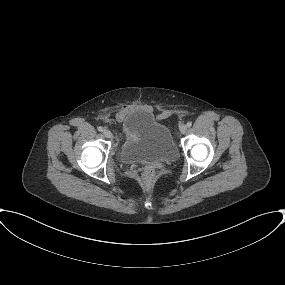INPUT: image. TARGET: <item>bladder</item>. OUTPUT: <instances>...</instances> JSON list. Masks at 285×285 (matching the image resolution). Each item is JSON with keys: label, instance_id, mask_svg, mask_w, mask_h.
<instances>
[{"label": "bladder", "instance_id": "bladder-1", "mask_svg": "<svg viewBox=\"0 0 285 285\" xmlns=\"http://www.w3.org/2000/svg\"><path fill=\"white\" fill-rule=\"evenodd\" d=\"M121 159L126 162H172L178 150L170 129L146 110L130 113L122 122Z\"/></svg>", "mask_w": 285, "mask_h": 285}]
</instances>
